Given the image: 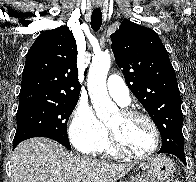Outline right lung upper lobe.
<instances>
[{"instance_id": "obj_1", "label": "right lung upper lobe", "mask_w": 196, "mask_h": 182, "mask_svg": "<svg viewBox=\"0 0 196 182\" xmlns=\"http://www.w3.org/2000/svg\"><path fill=\"white\" fill-rule=\"evenodd\" d=\"M77 45L67 26L40 34L29 49L19 106L38 101L78 100Z\"/></svg>"}]
</instances>
